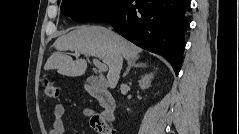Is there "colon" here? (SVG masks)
I'll use <instances>...</instances> for the list:
<instances>
[{"label": "colon", "instance_id": "1", "mask_svg": "<svg viewBox=\"0 0 239 134\" xmlns=\"http://www.w3.org/2000/svg\"><path fill=\"white\" fill-rule=\"evenodd\" d=\"M42 91L46 98L54 99L59 95V90L55 82L49 77L42 79ZM92 127L100 134H114L113 125L105 120L101 115H94L91 118Z\"/></svg>", "mask_w": 239, "mask_h": 134}]
</instances>
